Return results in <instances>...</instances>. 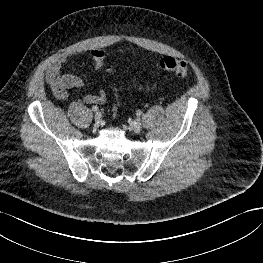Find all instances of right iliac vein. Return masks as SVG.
<instances>
[{
	"instance_id": "63e3f726",
	"label": "right iliac vein",
	"mask_w": 263,
	"mask_h": 263,
	"mask_svg": "<svg viewBox=\"0 0 263 263\" xmlns=\"http://www.w3.org/2000/svg\"><path fill=\"white\" fill-rule=\"evenodd\" d=\"M101 119H102L101 113L97 112V113L94 115L95 123H96V124H99V123L101 122Z\"/></svg>"
}]
</instances>
